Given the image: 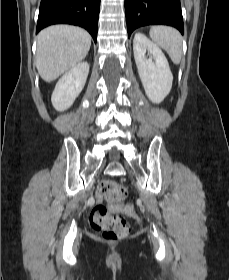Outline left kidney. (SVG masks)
I'll return each mask as SVG.
<instances>
[{
    "instance_id": "5707ae66",
    "label": "left kidney",
    "mask_w": 229,
    "mask_h": 280,
    "mask_svg": "<svg viewBox=\"0 0 229 280\" xmlns=\"http://www.w3.org/2000/svg\"><path fill=\"white\" fill-rule=\"evenodd\" d=\"M134 59L145 93L153 103H161L172 88L173 75L161 49L142 33L133 40ZM148 51L149 58L146 56Z\"/></svg>"
}]
</instances>
